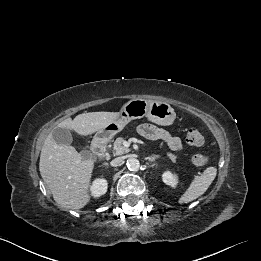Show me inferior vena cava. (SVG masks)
<instances>
[{
	"instance_id": "1",
	"label": "inferior vena cava",
	"mask_w": 261,
	"mask_h": 261,
	"mask_svg": "<svg viewBox=\"0 0 261 261\" xmlns=\"http://www.w3.org/2000/svg\"><path fill=\"white\" fill-rule=\"evenodd\" d=\"M122 161H123V159L121 157H117L110 162V165L113 167H117L122 164Z\"/></svg>"
}]
</instances>
